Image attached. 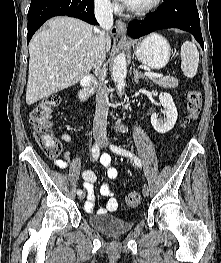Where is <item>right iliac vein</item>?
<instances>
[{"mask_svg":"<svg viewBox=\"0 0 221 263\" xmlns=\"http://www.w3.org/2000/svg\"><path fill=\"white\" fill-rule=\"evenodd\" d=\"M95 140H96V142L100 143L102 141V138L100 136H97L95 138ZM84 198H85V193H82V194L79 195V199L80 200H83Z\"/></svg>","mask_w":221,"mask_h":263,"instance_id":"obj_1","label":"right iliac vein"}]
</instances>
